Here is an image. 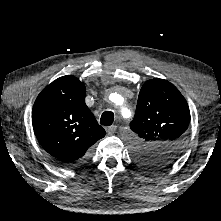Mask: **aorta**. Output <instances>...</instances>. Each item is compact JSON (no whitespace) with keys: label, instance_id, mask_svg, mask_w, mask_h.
I'll return each mask as SVG.
<instances>
[{"label":"aorta","instance_id":"762f6f07","mask_svg":"<svg viewBox=\"0 0 221 221\" xmlns=\"http://www.w3.org/2000/svg\"><path fill=\"white\" fill-rule=\"evenodd\" d=\"M127 110L125 108L122 109V112L125 113Z\"/></svg>","mask_w":221,"mask_h":221}]
</instances>
